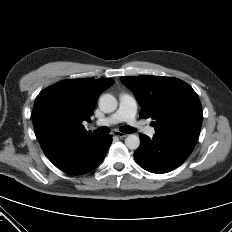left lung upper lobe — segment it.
<instances>
[{"mask_svg": "<svg viewBox=\"0 0 232 232\" xmlns=\"http://www.w3.org/2000/svg\"><path fill=\"white\" fill-rule=\"evenodd\" d=\"M142 107L140 117H151L157 134L199 135L202 106L198 95L184 81L172 77L140 75L120 78Z\"/></svg>", "mask_w": 232, "mask_h": 232, "instance_id": "left-lung-upper-lobe-1", "label": "left lung upper lobe"}]
</instances>
